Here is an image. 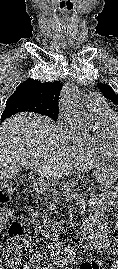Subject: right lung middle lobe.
I'll list each match as a JSON object with an SVG mask.
<instances>
[{
  "mask_svg": "<svg viewBox=\"0 0 118 269\" xmlns=\"http://www.w3.org/2000/svg\"><path fill=\"white\" fill-rule=\"evenodd\" d=\"M35 112L53 119L58 118V106L41 105L26 96L11 95L6 102L5 110L2 113L1 120L8 118L18 112Z\"/></svg>",
  "mask_w": 118,
  "mask_h": 269,
  "instance_id": "obj_1",
  "label": "right lung middle lobe"
}]
</instances>
